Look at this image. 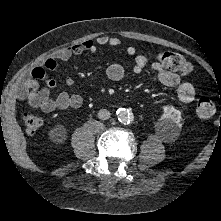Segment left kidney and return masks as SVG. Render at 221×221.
Wrapping results in <instances>:
<instances>
[{"label": "left kidney", "instance_id": "left-kidney-1", "mask_svg": "<svg viewBox=\"0 0 221 221\" xmlns=\"http://www.w3.org/2000/svg\"><path fill=\"white\" fill-rule=\"evenodd\" d=\"M181 119V111L173 106H165L163 107V114L159 119L158 125L161 131L166 134H177L182 127Z\"/></svg>", "mask_w": 221, "mask_h": 221}]
</instances>
